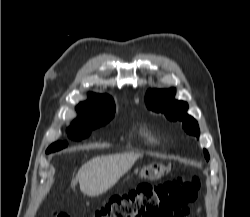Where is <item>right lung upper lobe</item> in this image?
I'll list each match as a JSON object with an SVG mask.
<instances>
[{"label":"right lung upper lobe","instance_id":"1","mask_svg":"<svg viewBox=\"0 0 250 217\" xmlns=\"http://www.w3.org/2000/svg\"><path fill=\"white\" fill-rule=\"evenodd\" d=\"M76 109L80 117L73 123L88 122L98 116L115 111V103L107 94L89 93V99L80 103Z\"/></svg>","mask_w":250,"mask_h":217}]
</instances>
